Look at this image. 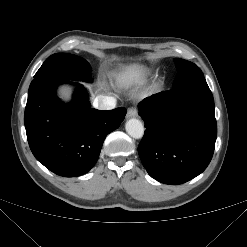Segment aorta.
I'll use <instances>...</instances> for the list:
<instances>
[{
	"label": "aorta",
	"mask_w": 247,
	"mask_h": 247,
	"mask_svg": "<svg viewBox=\"0 0 247 247\" xmlns=\"http://www.w3.org/2000/svg\"><path fill=\"white\" fill-rule=\"evenodd\" d=\"M126 132L135 139H141L144 135V126L136 118L129 119L125 124Z\"/></svg>",
	"instance_id": "762f6f07"
}]
</instances>
